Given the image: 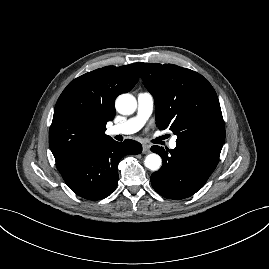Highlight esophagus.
Segmentation results:
<instances>
[{
	"mask_svg": "<svg viewBox=\"0 0 269 269\" xmlns=\"http://www.w3.org/2000/svg\"><path fill=\"white\" fill-rule=\"evenodd\" d=\"M144 154L150 153V147L148 145H143V151Z\"/></svg>",
	"mask_w": 269,
	"mask_h": 269,
	"instance_id": "34e87169",
	"label": "esophagus"
}]
</instances>
